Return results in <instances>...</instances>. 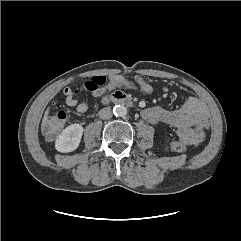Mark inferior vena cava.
Masks as SVG:
<instances>
[{
    "instance_id": "inferior-vena-cava-1",
    "label": "inferior vena cava",
    "mask_w": 241,
    "mask_h": 241,
    "mask_svg": "<svg viewBox=\"0 0 241 241\" xmlns=\"http://www.w3.org/2000/svg\"><path fill=\"white\" fill-rule=\"evenodd\" d=\"M99 116L103 120L110 119L113 116L112 110L109 107L103 108V109L100 110Z\"/></svg>"
}]
</instances>
